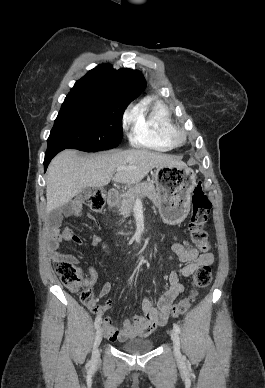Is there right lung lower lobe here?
Instances as JSON below:
<instances>
[{
    "mask_svg": "<svg viewBox=\"0 0 265 388\" xmlns=\"http://www.w3.org/2000/svg\"><path fill=\"white\" fill-rule=\"evenodd\" d=\"M60 151H62V150L59 149V150H52V151H47L46 152L45 159H44V170L45 171H46V169L48 167V164L51 161V159Z\"/></svg>",
    "mask_w": 265,
    "mask_h": 388,
    "instance_id": "1",
    "label": "right lung lower lobe"
}]
</instances>
